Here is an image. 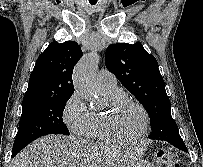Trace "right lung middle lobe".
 <instances>
[{
  "mask_svg": "<svg viewBox=\"0 0 203 167\" xmlns=\"http://www.w3.org/2000/svg\"><path fill=\"white\" fill-rule=\"evenodd\" d=\"M71 96L24 101L19 130L13 145L16 155L33 140L48 134L69 135L62 115Z\"/></svg>",
  "mask_w": 203,
  "mask_h": 167,
  "instance_id": "right-lung-middle-lobe-1",
  "label": "right lung middle lobe"
}]
</instances>
